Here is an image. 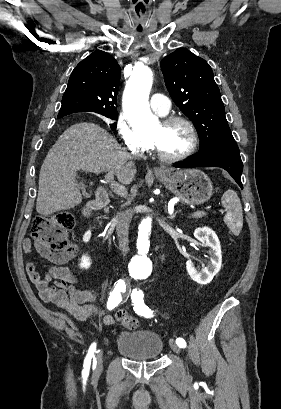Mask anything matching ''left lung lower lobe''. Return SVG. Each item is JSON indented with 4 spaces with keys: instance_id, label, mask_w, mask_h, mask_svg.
Returning <instances> with one entry per match:
<instances>
[{
    "instance_id": "obj_1",
    "label": "left lung lower lobe",
    "mask_w": 281,
    "mask_h": 409,
    "mask_svg": "<svg viewBox=\"0 0 281 409\" xmlns=\"http://www.w3.org/2000/svg\"><path fill=\"white\" fill-rule=\"evenodd\" d=\"M174 167H221L228 171L234 180L243 189L241 183V174L243 163L239 152L232 151H199L196 155L190 157L182 163L175 164Z\"/></svg>"
}]
</instances>
